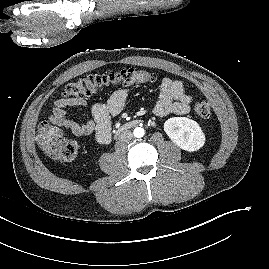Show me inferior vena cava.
I'll use <instances>...</instances> for the list:
<instances>
[{"label":"inferior vena cava","instance_id":"obj_1","mask_svg":"<svg viewBox=\"0 0 269 269\" xmlns=\"http://www.w3.org/2000/svg\"><path fill=\"white\" fill-rule=\"evenodd\" d=\"M132 137H133L132 132L129 130H125L119 135V141L120 142H128L132 139Z\"/></svg>","mask_w":269,"mask_h":269}]
</instances>
